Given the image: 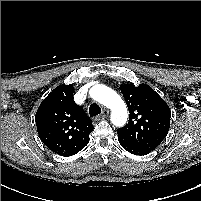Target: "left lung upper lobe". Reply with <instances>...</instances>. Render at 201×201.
I'll return each mask as SVG.
<instances>
[{
	"mask_svg": "<svg viewBox=\"0 0 201 201\" xmlns=\"http://www.w3.org/2000/svg\"><path fill=\"white\" fill-rule=\"evenodd\" d=\"M129 109L128 124L117 130L131 142L153 151L166 137L171 111L167 103L148 85H121Z\"/></svg>",
	"mask_w": 201,
	"mask_h": 201,
	"instance_id": "1",
	"label": "left lung upper lobe"
}]
</instances>
